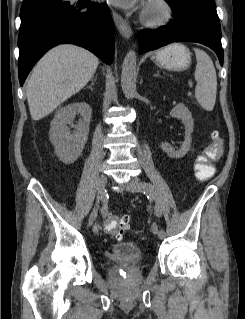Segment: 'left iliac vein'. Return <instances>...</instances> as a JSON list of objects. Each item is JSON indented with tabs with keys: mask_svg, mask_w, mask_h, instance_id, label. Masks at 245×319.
<instances>
[{
	"mask_svg": "<svg viewBox=\"0 0 245 319\" xmlns=\"http://www.w3.org/2000/svg\"><path fill=\"white\" fill-rule=\"evenodd\" d=\"M127 189L132 192V193H135V192H140V181L139 179L137 178H132L129 183L127 184ZM152 231L154 234H158V237L159 238H164L160 232L158 231V227L155 223H153L152 225Z\"/></svg>",
	"mask_w": 245,
	"mask_h": 319,
	"instance_id": "4c4485c4",
	"label": "left iliac vein"
}]
</instances>
